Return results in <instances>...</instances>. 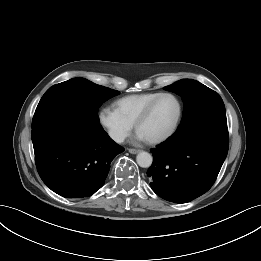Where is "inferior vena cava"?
I'll list each match as a JSON object with an SVG mask.
<instances>
[{"label":"inferior vena cava","mask_w":261,"mask_h":261,"mask_svg":"<svg viewBox=\"0 0 261 261\" xmlns=\"http://www.w3.org/2000/svg\"><path fill=\"white\" fill-rule=\"evenodd\" d=\"M110 137L117 143H122L124 141V139H125L124 135L118 134V133H114V132L110 133Z\"/></svg>","instance_id":"inferior-vena-cava-1"}]
</instances>
